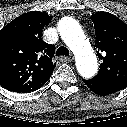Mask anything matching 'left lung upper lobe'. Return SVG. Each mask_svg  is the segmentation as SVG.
Segmentation results:
<instances>
[{
  "label": "left lung upper lobe",
  "instance_id": "obj_1",
  "mask_svg": "<svg viewBox=\"0 0 127 127\" xmlns=\"http://www.w3.org/2000/svg\"><path fill=\"white\" fill-rule=\"evenodd\" d=\"M100 70L96 77L127 87V25L108 12L92 15Z\"/></svg>",
  "mask_w": 127,
  "mask_h": 127
}]
</instances>
